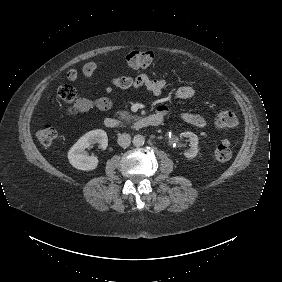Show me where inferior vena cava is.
<instances>
[{"instance_id":"obj_1","label":"inferior vena cava","mask_w":282,"mask_h":282,"mask_svg":"<svg viewBox=\"0 0 282 282\" xmlns=\"http://www.w3.org/2000/svg\"><path fill=\"white\" fill-rule=\"evenodd\" d=\"M117 142L121 147H128L131 143V136L127 133L119 134Z\"/></svg>"}]
</instances>
